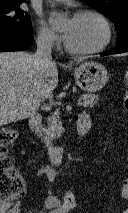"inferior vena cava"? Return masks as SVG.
<instances>
[{
	"instance_id": "1",
	"label": "inferior vena cava",
	"mask_w": 128,
	"mask_h": 213,
	"mask_svg": "<svg viewBox=\"0 0 128 213\" xmlns=\"http://www.w3.org/2000/svg\"><path fill=\"white\" fill-rule=\"evenodd\" d=\"M37 51L34 59L38 66L41 68L42 73L46 74L48 68L52 65V39L47 35H41L37 38ZM46 97H50L51 92H45Z\"/></svg>"
}]
</instances>
